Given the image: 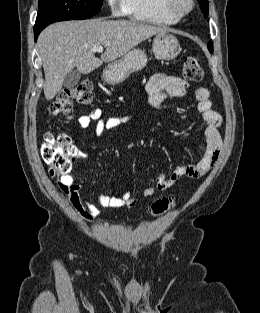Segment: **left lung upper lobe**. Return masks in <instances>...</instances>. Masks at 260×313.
Instances as JSON below:
<instances>
[{
  "mask_svg": "<svg viewBox=\"0 0 260 313\" xmlns=\"http://www.w3.org/2000/svg\"><path fill=\"white\" fill-rule=\"evenodd\" d=\"M198 2L201 5V9H202L204 16L207 17L208 16V7H209L208 0H198ZM208 49L210 52L213 51V44L211 41L208 43Z\"/></svg>",
  "mask_w": 260,
  "mask_h": 313,
  "instance_id": "1",
  "label": "left lung upper lobe"
}]
</instances>
